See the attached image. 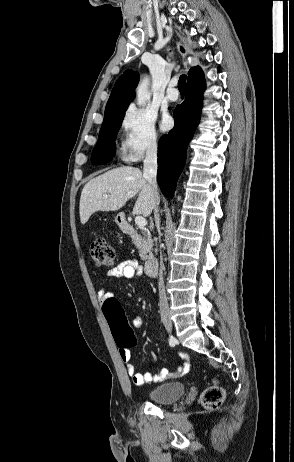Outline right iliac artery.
<instances>
[{
	"label": "right iliac artery",
	"instance_id": "82829eb1",
	"mask_svg": "<svg viewBox=\"0 0 294 462\" xmlns=\"http://www.w3.org/2000/svg\"><path fill=\"white\" fill-rule=\"evenodd\" d=\"M176 343H177V340L174 337L171 336L170 339H169V344L171 346H175Z\"/></svg>",
	"mask_w": 294,
	"mask_h": 462
}]
</instances>
